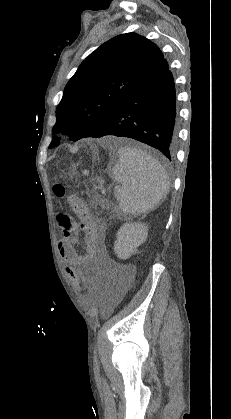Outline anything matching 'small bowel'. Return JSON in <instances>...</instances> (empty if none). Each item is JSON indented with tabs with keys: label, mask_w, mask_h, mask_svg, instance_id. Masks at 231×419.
<instances>
[{
	"label": "small bowel",
	"mask_w": 231,
	"mask_h": 419,
	"mask_svg": "<svg viewBox=\"0 0 231 419\" xmlns=\"http://www.w3.org/2000/svg\"><path fill=\"white\" fill-rule=\"evenodd\" d=\"M57 220L59 229L63 232V236L58 242V250L65 262V272L75 283L77 290L80 291L81 285L77 267L83 265L82 261L86 258L85 253L78 254L75 248V245L78 244L79 228L73 221L70 213L59 214ZM106 257V253L99 249L97 258L104 260ZM126 291L127 284L120 279H114L109 285H106L102 292L105 311H110L115 308L122 301Z\"/></svg>",
	"instance_id": "c3829d8e"
}]
</instances>
